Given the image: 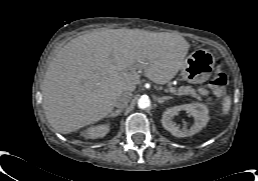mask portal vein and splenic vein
Segmentation results:
<instances>
[{
	"label": "portal vein and splenic vein",
	"instance_id": "18ae733b",
	"mask_svg": "<svg viewBox=\"0 0 258 181\" xmlns=\"http://www.w3.org/2000/svg\"><path fill=\"white\" fill-rule=\"evenodd\" d=\"M168 91L171 92V93H174V92H175V90H174L173 87L169 88Z\"/></svg>",
	"mask_w": 258,
	"mask_h": 181
}]
</instances>
